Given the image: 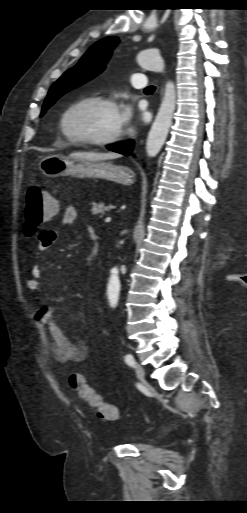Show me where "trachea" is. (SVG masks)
Segmentation results:
<instances>
[{"mask_svg": "<svg viewBox=\"0 0 247 513\" xmlns=\"http://www.w3.org/2000/svg\"><path fill=\"white\" fill-rule=\"evenodd\" d=\"M154 90H155L154 86H148L147 88L144 89V92L152 93V92H154ZM245 278H247V277H245Z\"/></svg>", "mask_w": 247, "mask_h": 513, "instance_id": "trachea-1", "label": "trachea"}]
</instances>
